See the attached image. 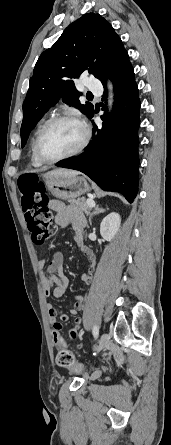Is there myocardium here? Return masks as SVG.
I'll list each match as a JSON object with an SVG mask.
<instances>
[{"instance_id": "f54148a6", "label": "myocardium", "mask_w": 171, "mask_h": 445, "mask_svg": "<svg viewBox=\"0 0 171 445\" xmlns=\"http://www.w3.org/2000/svg\"><path fill=\"white\" fill-rule=\"evenodd\" d=\"M61 121H71V122L76 123L80 127V129L82 131L81 142L73 151H71V152H69V153H67V154H65L63 156H60V157H57V158H53V159L46 158L42 154L41 148H40L42 137H43L44 133L46 132V130L52 124L57 123V122H61ZM89 137H90L89 136V129L87 127V124L80 117H78L76 115H73V114H60V115H56V116H53V117L49 118L41 126V128L39 129V131H38V133L36 135V138H35L34 152H35L36 158L42 164H48V165L55 164V163H58L60 161H63V160H66V159H69V158H72V157H75L78 154H80L85 149V147L87 146L88 141H89Z\"/></svg>"}]
</instances>
